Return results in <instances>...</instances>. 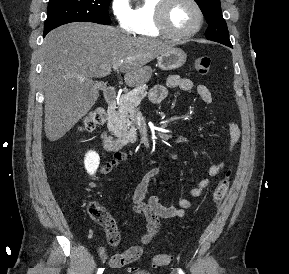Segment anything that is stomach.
I'll list each match as a JSON object with an SVG mask.
<instances>
[{
  "label": "stomach",
  "instance_id": "stomach-1",
  "mask_svg": "<svg viewBox=\"0 0 289 274\" xmlns=\"http://www.w3.org/2000/svg\"><path fill=\"white\" fill-rule=\"evenodd\" d=\"M186 58L187 55L183 50L173 48L157 58V65L161 70H173L184 65Z\"/></svg>",
  "mask_w": 289,
  "mask_h": 274
}]
</instances>
